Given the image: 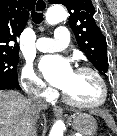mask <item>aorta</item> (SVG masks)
<instances>
[{
    "instance_id": "1",
    "label": "aorta",
    "mask_w": 117,
    "mask_h": 136,
    "mask_svg": "<svg viewBox=\"0 0 117 136\" xmlns=\"http://www.w3.org/2000/svg\"><path fill=\"white\" fill-rule=\"evenodd\" d=\"M68 17L67 11L60 5L50 7L46 13V22L50 25L58 24L65 21ZM65 124L62 120H58L53 125L49 136H63Z\"/></svg>"
}]
</instances>
